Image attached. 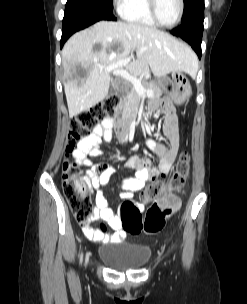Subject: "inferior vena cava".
<instances>
[{"label": "inferior vena cava", "mask_w": 247, "mask_h": 304, "mask_svg": "<svg viewBox=\"0 0 247 304\" xmlns=\"http://www.w3.org/2000/svg\"><path fill=\"white\" fill-rule=\"evenodd\" d=\"M127 123V117L124 115L123 116V125H125Z\"/></svg>", "instance_id": "inferior-vena-cava-1"}]
</instances>
